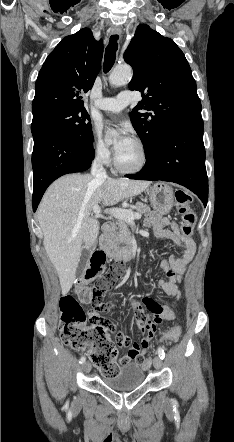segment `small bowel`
<instances>
[{
	"label": "small bowel",
	"mask_w": 234,
	"mask_h": 442,
	"mask_svg": "<svg viewBox=\"0 0 234 442\" xmlns=\"http://www.w3.org/2000/svg\"><path fill=\"white\" fill-rule=\"evenodd\" d=\"M145 225L154 229V234L159 238L172 240L178 247L183 249V255H171L169 259H163L160 263V268L166 273L167 279L158 281L159 288L167 295L180 298L179 284L181 283L184 272L187 266L192 261L196 244L192 237L184 236L180 231L178 224L169 218L162 217L156 212L150 213L145 219ZM167 226L171 227L167 229ZM171 306L164 305L160 314H135L132 326L138 328L142 333L148 335L141 339L139 343H134L130 346V338L124 334L122 329H116L115 324L107 315L104 314H89L87 317L88 326L95 328L96 331H109V335L115 337V342L119 344L120 349L127 350L123 356L122 361L126 369L136 370L142 366L145 360L144 354L149 346V342L157 328L163 326L164 321L173 320L176 316ZM109 309V305L102 306L101 312ZM150 332V333H149Z\"/></svg>",
	"instance_id": "c3829d8e"
}]
</instances>
